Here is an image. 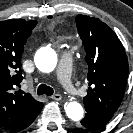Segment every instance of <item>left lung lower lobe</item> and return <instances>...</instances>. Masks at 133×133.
Segmentation results:
<instances>
[{"mask_svg": "<svg viewBox=\"0 0 133 133\" xmlns=\"http://www.w3.org/2000/svg\"><path fill=\"white\" fill-rule=\"evenodd\" d=\"M85 117L80 121L79 127L84 130H100L113 117L111 113L100 112L93 108H85Z\"/></svg>", "mask_w": 133, "mask_h": 133, "instance_id": "left-lung-lower-lobe-1", "label": "left lung lower lobe"}]
</instances>
